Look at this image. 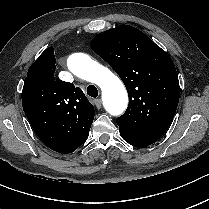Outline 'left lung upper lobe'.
Segmentation results:
<instances>
[{
	"instance_id": "1",
	"label": "left lung upper lobe",
	"mask_w": 209,
	"mask_h": 209,
	"mask_svg": "<svg viewBox=\"0 0 209 209\" xmlns=\"http://www.w3.org/2000/svg\"><path fill=\"white\" fill-rule=\"evenodd\" d=\"M90 46L126 86L129 105L117 118L120 133L153 144L169 127L179 102L173 61L147 35L129 25L99 33Z\"/></svg>"
}]
</instances>
